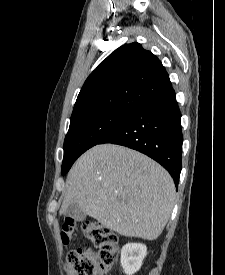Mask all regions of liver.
I'll use <instances>...</instances> for the list:
<instances>
[{
  "label": "liver",
  "instance_id": "1",
  "mask_svg": "<svg viewBox=\"0 0 225 275\" xmlns=\"http://www.w3.org/2000/svg\"><path fill=\"white\" fill-rule=\"evenodd\" d=\"M60 209L77 202L83 212L123 236L154 240L168 222L175 185L158 163L135 150L96 145L74 163Z\"/></svg>",
  "mask_w": 225,
  "mask_h": 275
}]
</instances>
